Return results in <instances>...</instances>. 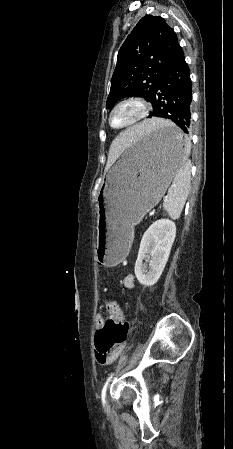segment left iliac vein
Returning a JSON list of instances; mask_svg holds the SVG:
<instances>
[{"label":"left iliac vein","mask_w":233,"mask_h":449,"mask_svg":"<svg viewBox=\"0 0 233 449\" xmlns=\"http://www.w3.org/2000/svg\"><path fill=\"white\" fill-rule=\"evenodd\" d=\"M105 405H106V407H108V403H107V401H105Z\"/></svg>","instance_id":"left-iliac-vein-1"}]
</instances>
